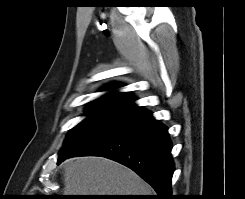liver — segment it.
<instances>
[{"mask_svg":"<svg viewBox=\"0 0 245 199\" xmlns=\"http://www.w3.org/2000/svg\"><path fill=\"white\" fill-rule=\"evenodd\" d=\"M65 195H152L136 173L103 157L69 159L64 166Z\"/></svg>","mask_w":245,"mask_h":199,"instance_id":"liver-1","label":"liver"}]
</instances>
